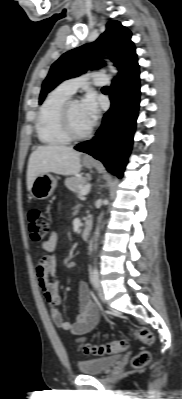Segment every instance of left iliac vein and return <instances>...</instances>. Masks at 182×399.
I'll return each mask as SVG.
<instances>
[{"mask_svg": "<svg viewBox=\"0 0 182 399\" xmlns=\"http://www.w3.org/2000/svg\"><path fill=\"white\" fill-rule=\"evenodd\" d=\"M98 297H99L100 300H102L103 302L106 301L103 287H102L100 284H99V287H98Z\"/></svg>", "mask_w": 182, "mask_h": 399, "instance_id": "obj_1", "label": "left iliac vein"}]
</instances>
